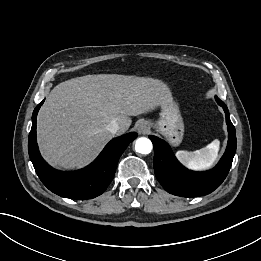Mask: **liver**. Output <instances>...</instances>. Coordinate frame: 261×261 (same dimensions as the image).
<instances>
[{"mask_svg": "<svg viewBox=\"0 0 261 261\" xmlns=\"http://www.w3.org/2000/svg\"><path fill=\"white\" fill-rule=\"evenodd\" d=\"M172 99L158 79L117 74L86 75L55 86L37 119L41 154L52 166L81 168L112 138L106 129L116 120L119 133L131 125L129 116L147 113Z\"/></svg>", "mask_w": 261, "mask_h": 261, "instance_id": "liver-1", "label": "liver"}]
</instances>
